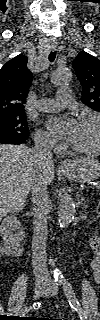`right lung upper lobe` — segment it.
<instances>
[{
	"mask_svg": "<svg viewBox=\"0 0 100 320\" xmlns=\"http://www.w3.org/2000/svg\"><path fill=\"white\" fill-rule=\"evenodd\" d=\"M26 63L20 54L0 69V119L25 116L23 104L33 77Z\"/></svg>",
	"mask_w": 100,
	"mask_h": 320,
	"instance_id": "obj_1",
	"label": "right lung upper lobe"
}]
</instances>
